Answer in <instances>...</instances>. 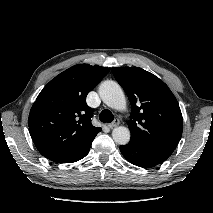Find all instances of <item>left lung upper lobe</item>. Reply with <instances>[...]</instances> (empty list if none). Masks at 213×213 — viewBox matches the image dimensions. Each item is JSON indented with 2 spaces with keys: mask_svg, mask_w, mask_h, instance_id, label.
Masks as SVG:
<instances>
[{
  "mask_svg": "<svg viewBox=\"0 0 213 213\" xmlns=\"http://www.w3.org/2000/svg\"><path fill=\"white\" fill-rule=\"evenodd\" d=\"M111 71L132 106L128 121L130 141L170 156L183 129L181 110L171 90L154 74L139 67H114Z\"/></svg>",
  "mask_w": 213,
  "mask_h": 213,
  "instance_id": "left-lung-upper-lobe-1",
  "label": "left lung upper lobe"
}]
</instances>
